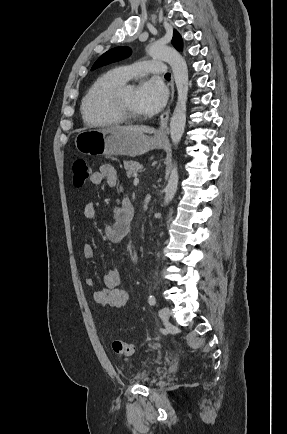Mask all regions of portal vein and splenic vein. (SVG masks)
Masks as SVG:
<instances>
[{"label":"portal vein and splenic vein","instance_id":"portal-vein-and-splenic-vein-1","mask_svg":"<svg viewBox=\"0 0 287 434\" xmlns=\"http://www.w3.org/2000/svg\"><path fill=\"white\" fill-rule=\"evenodd\" d=\"M134 185H138V183H139V179H138V177H137V175H135V178H134Z\"/></svg>","mask_w":287,"mask_h":434}]
</instances>
